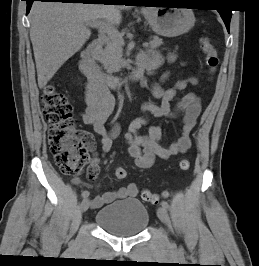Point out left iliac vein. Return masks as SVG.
Listing matches in <instances>:
<instances>
[{
  "instance_id": "1",
  "label": "left iliac vein",
  "mask_w": 259,
  "mask_h": 266,
  "mask_svg": "<svg viewBox=\"0 0 259 266\" xmlns=\"http://www.w3.org/2000/svg\"><path fill=\"white\" fill-rule=\"evenodd\" d=\"M157 216L159 217V219L164 224H168V222H169V216H168L167 210L164 207H159L157 209Z\"/></svg>"
}]
</instances>
